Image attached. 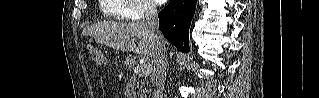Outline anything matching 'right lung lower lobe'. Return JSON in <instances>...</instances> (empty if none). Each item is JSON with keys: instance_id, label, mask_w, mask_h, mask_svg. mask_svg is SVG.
<instances>
[{"instance_id": "obj_1", "label": "right lung lower lobe", "mask_w": 319, "mask_h": 98, "mask_svg": "<svg viewBox=\"0 0 319 98\" xmlns=\"http://www.w3.org/2000/svg\"><path fill=\"white\" fill-rule=\"evenodd\" d=\"M196 9V0H171L160 11L159 29L181 52L189 51V27Z\"/></svg>"}]
</instances>
